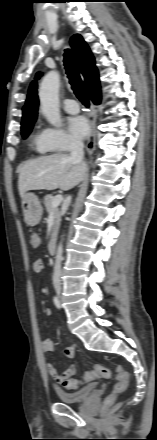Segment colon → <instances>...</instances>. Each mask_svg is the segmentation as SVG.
Wrapping results in <instances>:
<instances>
[{
  "instance_id": "obj_1",
  "label": "colon",
  "mask_w": 157,
  "mask_h": 440,
  "mask_svg": "<svg viewBox=\"0 0 157 440\" xmlns=\"http://www.w3.org/2000/svg\"><path fill=\"white\" fill-rule=\"evenodd\" d=\"M30 245L32 248L37 249L41 244L40 236L37 233H31L29 239ZM33 267L36 269H42L44 267L43 261L38 259L34 262ZM110 376V370L101 364H96L92 367L91 370L84 373L83 377L80 379L77 378H67L64 380L62 385L66 389H77L84 382L92 380L94 378H107ZM116 383L113 387L111 394L105 399L104 404H111L118 395L122 394L128 387L129 383V374L126 370L121 367L116 369Z\"/></svg>"
}]
</instances>
